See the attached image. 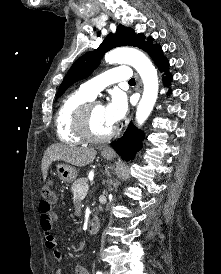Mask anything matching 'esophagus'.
<instances>
[{
	"instance_id": "1",
	"label": "esophagus",
	"mask_w": 221,
	"mask_h": 274,
	"mask_svg": "<svg viewBox=\"0 0 221 274\" xmlns=\"http://www.w3.org/2000/svg\"><path fill=\"white\" fill-rule=\"evenodd\" d=\"M137 86H138V89L141 91L142 90V82H141V80L139 78L137 80ZM103 152L104 153H109V154H113L114 153V151L112 150V148H110L109 146L105 147L103 149Z\"/></svg>"
}]
</instances>
